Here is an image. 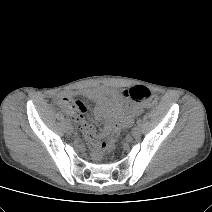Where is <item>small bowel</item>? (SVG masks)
<instances>
[{"mask_svg": "<svg viewBox=\"0 0 212 212\" xmlns=\"http://www.w3.org/2000/svg\"><path fill=\"white\" fill-rule=\"evenodd\" d=\"M83 95L94 104L95 118L106 121L102 132L103 136H107L120 128L129 127L133 119L142 112L140 105L125 103L124 97L111 88L98 86L85 90ZM77 124L97 155L98 138L95 128L88 124L82 116L77 118Z\"/></svg>", "mask_w": 212, "mask_h": 212, "instance_id": "1", "label": "small bowel"}]
</instances>
